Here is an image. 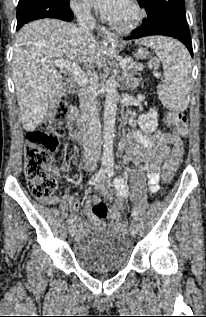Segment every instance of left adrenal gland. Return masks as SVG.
<instances>
[{"label":"left adrenal gland","instance_id":"obj_1","mask_svg":"<svg viewBox=\"0 0 206 317\" xmlns=\"http://www.w3.org/2000/svg\"><path fill=\"white\" fill-rule=\"evenodd\" d=\"M123 89L133 91L138 86L137 79L134 78L133 74L128 73L126 69H123Z\"/></svg>","mask_w":206,"mask_h":317}]
</instances>
